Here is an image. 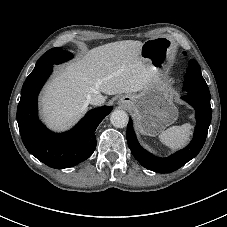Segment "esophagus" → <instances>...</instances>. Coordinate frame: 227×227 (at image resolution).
Instances as JSON below:
<instances>
[{"label": "esophagus", "instance_id": "esophagus-1", "mask_svg": "<svg viewBox=\"0 0 227 227\" xmlns=\"http://www.w3.org/2000/svg\"><path fill=\"white\" fill-rule=\"evenodd\" d=\"M127 102V97H122L119 99L118 103H126Z\"/></svg>", "mask_w": 227, "mask_h": 227}]
</instances>
